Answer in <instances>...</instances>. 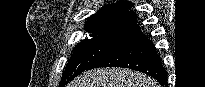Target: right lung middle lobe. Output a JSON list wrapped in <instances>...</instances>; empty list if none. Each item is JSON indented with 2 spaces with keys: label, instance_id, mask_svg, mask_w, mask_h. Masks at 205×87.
<instances>
[{
  "label": "right lung middle lobe",
  "instance_id": "dd1d6c3e",
  "mask_svg": "<svg viewBox=\"0 0 205 87\" xmlns=\"http://www.w3.org/2000/svg\"><path fill=\"white\" fill-rule=\"evenodd\" d=\"M131 36L130 33L118 31L91 32L90 38L82 40L75 46L62 76L60 87H64Z\"/></svg>",
  "mask_w": 205,
  "mask_h": 87
}]
</instances>
